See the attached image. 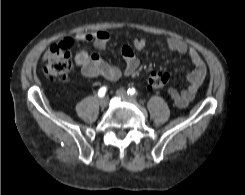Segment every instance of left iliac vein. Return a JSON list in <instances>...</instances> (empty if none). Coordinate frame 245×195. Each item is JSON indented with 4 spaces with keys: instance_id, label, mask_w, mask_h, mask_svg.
<instances>
[{
    "instance_id": "1",
    "label": "left iliac vein",
    "mask_w": 245,
    "mask_h": 195,
    "mask_svg": "<svg viewBox=\"0 0 245 195\" xmlns=\"http://www.w3.org/2000/svg\"><path fill=\"white\" fill-rule=\"evenodd\" d=\"M116 95L118 97H123V98H126V99H128V100H130L132 102H135V98L130 96L129 94H127V92L124 89H118L116 91Z\"/></svg>"
}]
</instances>
